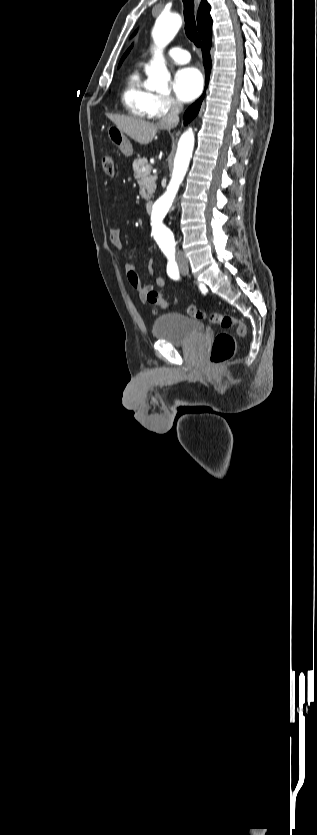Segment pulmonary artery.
Returning <instances> with one entry per match:
<instances>
[{
    "mask_svg": "<svg viewBox=\"0 0 317 835\" xmlns=\"http://www.w3.org/2000/svg\"><path fill=\"white\" fill-rule=\"evenodd\" d=\"M167 55L179 64H185L190 60V54L188 53V51L179 47H174L170 49Z\"/></svg>",
    "mask_w": 317,
    "mask_h": 835,
    "instance_id": "pulmonary-artery-1",
    "label": "pulmonary artery"
}]
</instances>
